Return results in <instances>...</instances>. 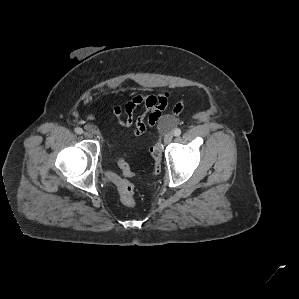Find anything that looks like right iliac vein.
<instances>
[{
  "instance_id": "63e3f726",
  "label": "right iliac vein",
  "mask_w": 299,
  "mask_h": 299,
  "mask_svg": "<svg viewBox=\"0 0 299 299\" xmlns=\"http://www.w3.org/2000/svg\"><path fill=\"white\" fill-rule=\"evenodd\" d=\"M83 135L86 137V138H92L93 137V134L90 133V132H84Z\"/></svg>"
}]
</instances>
